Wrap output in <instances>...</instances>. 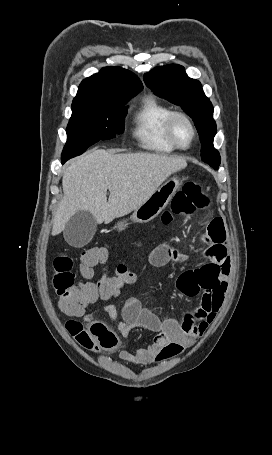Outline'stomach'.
<instances>
[{
  "instance_id": "stomach-1",
  "label": "stomach",
  "mask_w": 272,
  "mask_h": 455,
  "mask_svg": "<svg viewBox=\"0 0 272 455\" xmlns=\"http://www.w3.org/2000/svg\"><path fill=\"white\" fill-rule=\"evenodd\" d=\"M181 185L180 177L175 175L161 185L141 206L134 210L131 219L138 223H147L156 218L166 208ZM126 224H118L122 230Z\"/></svg>"
}]
</instances>
